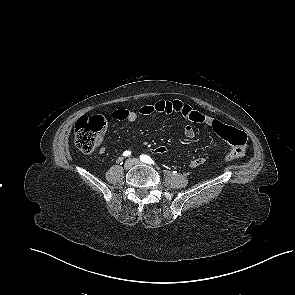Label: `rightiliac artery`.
<instances>
[{"mask_svg":"<svg viewBox=\"0 0 295 295\" xmlns=\"http://www.w3.org/2000/svg\"><path fill=\"white\" fill-rule=\"evenodd\" d=\"M131 155V152L130 151H125L124 153H123V156L124 157H128V156H130ZM118 162H121V160H119Z\"/></svg>","mask_w":295,"mask_h":295,"instance_id":"obj_1","label":"right iliac artery"}]
</instances>
